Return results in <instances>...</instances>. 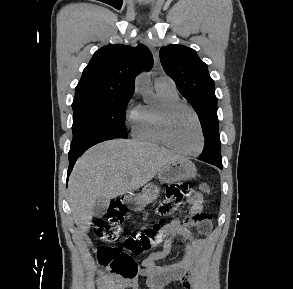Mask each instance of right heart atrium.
Listing matches in <instances>:
<instances>
[{"mask_svg":"<svg viewBox=\"0 0 293 289\" xmlns=\"http://www.w3.org/2000/svg\"><path fill=\"white\" fill-rule=\"evenodd\" d=\"M134 105H135V97H132L127 104V111H131L134 108ZM136 110L137 109L133 111V114L136 112Z\"/></svg>","mask_w":293,"mask_h":289,"instance_id":"d8ad5b80","label":"right heart atrium"}]
</instances>
